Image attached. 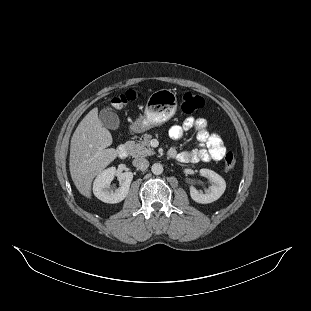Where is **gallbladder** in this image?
Masks as SVG:
<instances>
[{"label":"gallbladder","mask_w":311,"mask_h":311,"mask_svg":"<svg viewBox=\"0 0 311 311\" xmlns=\"http://www.w3.org/2000/svg\"><path fill=\"white\" fill-rule=\"evenodd\" d=\"M102 125L108 129L116 130L119 128L120 120L118 115L110 108H104L99 113Z\"/></svg>","instance_id":"1"}]
</instances>
